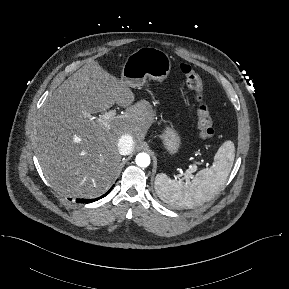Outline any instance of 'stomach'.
<instances>
[{"instance_id": "0dacf381", "label": "stomach", "mask_w": 289, "mask_h": 289, "mask_svg": "<svg viewBox=\"0 0 289 289\" xmlns=\"http://www.w3.org/2000/svg\"><path fill=\"white\" fill-rule=\"evenodd\" d=\"M171 71V60L167 53L154 47H141L131 53L122 68L121 80L130 87L142 86L147 78L164 81ZM163 148L175 155L181 147V137L173 125L165 126L161 134Z\"/></svg>"}]
</instances>
